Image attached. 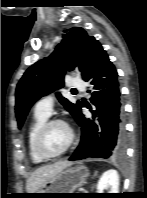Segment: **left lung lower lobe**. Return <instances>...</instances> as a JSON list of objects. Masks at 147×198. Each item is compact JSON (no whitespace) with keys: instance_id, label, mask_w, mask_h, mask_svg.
Masks as SVG:
<instances>
[{"instance_id":"0a47b994","label":"left lung lower lobe","mask_w":147,"mask_h":198,"mask_svg":"<svg viewBox=\"0 0 147 198\" xmlns=\"http://www.w3.org/2000/svg\"><path fill=\"white\" fill-rule=\"evenodd\" d=\"M84 80L93 85V91L88 92H92L91 102L97 108V123L80 112L77 122L81 126V140L69 160L122 157L126 137L118 74L97 40L90 51Z\"/></svg>"}]
</instances>
